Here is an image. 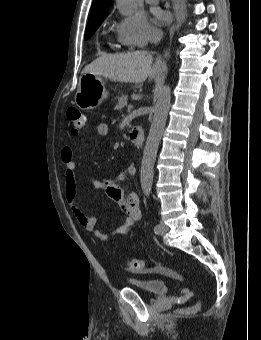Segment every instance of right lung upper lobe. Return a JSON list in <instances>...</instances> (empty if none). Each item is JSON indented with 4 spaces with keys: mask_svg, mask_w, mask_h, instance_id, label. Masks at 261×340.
<instances>
[{
    "mask_svg": "<svg viewBox=\"0 0 261 340\" xmlns=\"http://www.w3.org/2000/svg\"><path fill=\"white\" fill-rule=\"evenodd\" d=\"M109 2L110 0H93L88 24L107 17Z\"/></svg>",
    "mask_w": 261,
    "mask_h": 340,
    "instance_id": "cb5924a9",
    "label": "right lung upper lobe"
}]
</instances>
